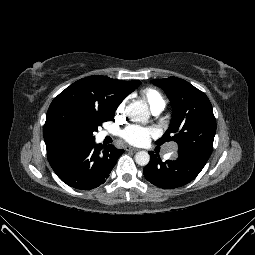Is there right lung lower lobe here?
Masks as SVG:
<instances>
[{
  "instance_id": "1",
  "label": "right lung lower lobe",
  "mask_w": 255,
  "mask_h": 255,
  "mask_svg": "<svg viewBox=\"0 0 255 255\" xmlns=\"http://www.w3.org/2000/svg\"><path fill=\"white\" fill-rule=\"evenodd\" d=\"M123 152L113 145L102 150L94 140L66 145L47 152V157L64 183L76 189L91 190L105 182Z\"/></svg>"
}]
</instances>
